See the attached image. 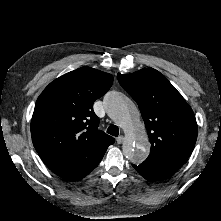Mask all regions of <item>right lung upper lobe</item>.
I'll list each match as a JSON object with an SVG mask.
<instances>
[{"label": "right lung upper lobe", "mask_w": 221, "mask_h": 221, "mask_svg": "<svg viewBox=\"0 0 221 221\" xmlns=\"http://www.w3.org/2000/svg\"><path fill=\"white\" fill-rule=\"evenodd\" d=\"M113 77L82 67L50 83L39 96L31 120L34 147L46 163L75 150L115 139L97 127L93 103L112 86Z\"/></svg>", "instance_id": "right-lung-upper-lobe-1"}]
</instances>
